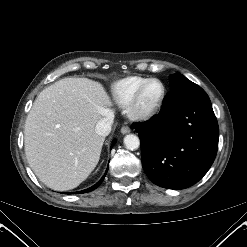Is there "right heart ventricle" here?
<instances>
[{
	"instance_id": "obj_1",
	"label": "right heart ventricle",
	"mask_w": 247,
	"mask_h": 247,
	"mask_svg": "<svg viewBox=\"0 0 247 247\" xmlns=\"http://www.w3.org/2000/svg\"><path fill=\"white\" fill-rule=\"evenodd\" d=\"M143 76H128L118 80L112 86V97L116 104L127 107L137 88L148 80Z\"/></svg>"
}]
</instances>
